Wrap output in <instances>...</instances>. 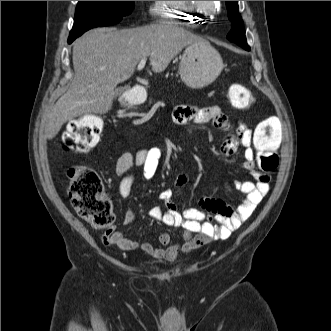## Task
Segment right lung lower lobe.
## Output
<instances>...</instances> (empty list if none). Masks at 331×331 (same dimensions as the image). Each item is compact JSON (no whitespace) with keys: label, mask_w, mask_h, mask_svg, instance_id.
<instances>
[{"label":"right lung lower lobe","mask_w":331,"mask_h":331,"mask_svg":"<svg viewBox=\"0 0 331 331\" xmlns=\"http://www.w3.org/2000/svg\"><path fill=\"white\" fill-rule=\"evenodd\" d=\"M72 41L68 40V43H71Z\"/></svg>","instance_id":"obj_1"}]
</instances>
